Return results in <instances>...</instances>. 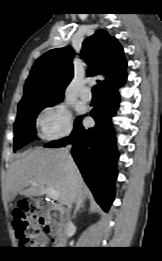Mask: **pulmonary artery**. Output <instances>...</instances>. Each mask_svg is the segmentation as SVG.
Returning a JSON list of instances; mask_svg holds the SVG:
<instances>
[{
    "label": "pulmonary artery",
    "instance_id": "obj_1",
    "mask_svg": "<svg viewBox=\"0 0 162 261\" xmlns=\"http://www.w3.org/2000/svg\"><path fill=\"white\" fill-rule=\"evenodd\" d=\"M79 96L84 101H90L92 99V92L88 87L81 89Z\"/></svg>",
    "mask_w": 162,
    "mask_h": 261
}]
</instances>
